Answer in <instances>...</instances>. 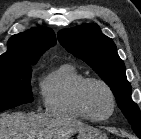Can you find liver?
Segmentation results:
<instances>
[{
  "label": "liver",
  "mask_w": 141,
  "mask_h": 139,
  "mask_svg": "<svg viewBox=\"0 0 141 139\" xmlns=\"http://www.w3.org/2000/svg\"><path fill=\"white\" fill-rule=\"evenodd\" d=\"M87 128L74 116L58 112L0 114V139H70Z\"/></svg>",
  "instance_id": "obj_1"
}]
</instances>
